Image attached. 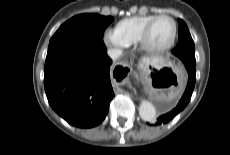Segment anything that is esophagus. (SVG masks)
Returning <instances> with one entry per match:
<instances>
[{"mask_svg": "<svg viewBox=\"0 0 230 155\" xmlns=\"http://www.w3.org/2000/svg\"><path fill=\"white\" fill-rule=\"evenodd\" d=\"M117 66L124 70V74H122V76H124L127 72H129L131 70V67L127 64V63H124V62H120L117 64ZM114 88H115V91L116 92H122L123 90L118 86V84H114Z\"/></svg>", "mask_w": 230, "mask_h": 155, "instance_id": "esophagus-1", "label": "esophagus"}]
</instances>
